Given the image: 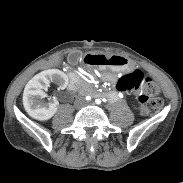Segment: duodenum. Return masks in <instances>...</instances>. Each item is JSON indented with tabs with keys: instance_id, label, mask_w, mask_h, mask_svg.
Here are the masks:
<instances>
[{
	"instance_id": "1",
	"label": "duodenum",
	"mask_w": 183,
	"mask_h": 183,
	"mask_svg": "<svg viewBox=\"0 0 183 183\" xmlns=\"http://www.w3.org/2000/svg\"><path fill=\"white\" fill-rule=\"evenodd\" d=\"M69 78H70L69 89L74 90L78 83V77L75 74H70Z\"/></svg>"
}]
</instances>
